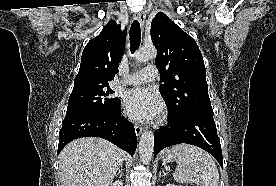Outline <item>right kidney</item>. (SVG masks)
Here are the masks:
<instances>
[{"label":"right kidney","instance_id":"1","mask_svg":"<svg viewBox=\"0 0 276 186\" xmlns=\"http://www.w3.org/2000/svg\"><path fill=\"white\" fill-rule=\"evenodd\" d=\"M111 186H123L122 181H115Z\"/></svg>","mask_w":276,"mask_h":186}]
</instances>
